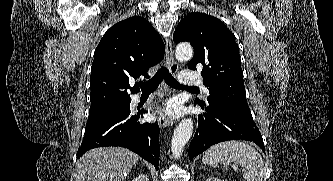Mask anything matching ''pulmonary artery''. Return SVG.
I'll use <instances>...</instances> for the list:
<instances>
[{"instance_id":"obj_1","label":"pulmonary artery","mask_w":333,"mask_h":181,"mask_svg":"<svg viewBox=\"0 0 333 181\" xmlns=\"http://www.w3.org/2000/svg\"><path fill=\"white\" fill-rule=\"evenodd\" d=\"M179 81L183 85L187 86H200L202 85V80L198 74L193 71H185L179 74ZM204 92L209 94V90L204 87Z\"/></svg>"}]
</instances>
